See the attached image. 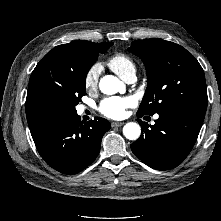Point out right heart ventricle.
<instances>
[{
    "instance_id": "obj_1",
    "label": "right heart ventricle",
    "mask_w": 221,
    "mask_h": 221,
    "mask_svg": "<svg viewBox=\"0 0 221 221\" xmlns=\"http://www.w3.org/2000/svg\"><path fill=\"white\" fill-rule=\"evenodd\" d=\"M107 64L122 79L129 73L136 71V66L132 58L123 53H117L110 57Z\"/></svg>"
}]
</instances>
